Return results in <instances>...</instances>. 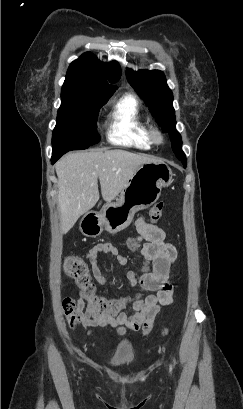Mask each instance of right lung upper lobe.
Here are the masks:
<instances>
[{"label":"right lung upper lobe","instance_id":"1","mask_svg":"<svg viewBox=\"0 0 243 409\" xmlns=\"http://www.w3.org/2000/svg\"><path fill=\"white\" fill-rule=\"evenodd\" d=\"M120 77L121 68L116 61L103 63L92 53L86 52L70 64L61 97L110 98L117 89L112 83H116Z\"/></svg>","mask_w":243,"mask_h":409}]
</instances>
